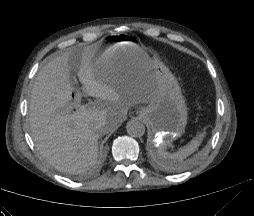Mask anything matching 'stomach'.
Returning a JSON list of instances; mask_svg holds the SVG:
<instances>
[{"mask_svg": "<svg viewBox=\"0 0 254 216\" xmlns=\"http://www.w3.org/2000/svg\"><path fill=\"white\" fill-rule=\"evenodd\" d=\"M95 65L100 73L148 69L155 78L150 102L140 117L150 128V142L165 150L185 131L187 107L177 79L158 58H150L126 36H109L99 42ZM104 60H108L104 64Z\"/></svg>", "mask_w": 254, "mask_h": 216, "instance_id": "1", "label": "stomach"}]
</instances>
